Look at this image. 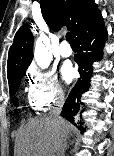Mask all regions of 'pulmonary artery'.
Here are the masks:
<instances>
[{"label": "pulmonary artery", "instance_id": "1", "mask_svg": "<svg viewBox=\"0 0 114 156\" xmlns=\"http://www.w3.org/2000/svg\"><path fill=\"white\" fill-rule=\"evenodd\" d=\"M59 53L62 57H70L72 55V49L66 41L60 44Z\"/></svg>", "mask_w": 114, "mask_h": 156}]
</instances>
